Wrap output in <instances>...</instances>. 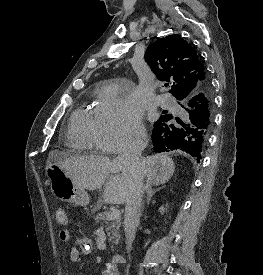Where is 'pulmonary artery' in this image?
<instances>
[{
    "label": "pulmonary artery",
    "mask_w": 263,
    "mask_h": 275,
    "mask_svg": "<svg viewBox=\"0 0 263 275\" xmlns=\"http://www.w3.org/2000/svg\"><path fill=\"white\" fill-rule=\"evenodd\" d=\"M159 104L166 108L174 109L177 107L176 102L168 95L159 98Z\"/></svg>",
    "instance_id": "obj_1"
}]
</instances>
